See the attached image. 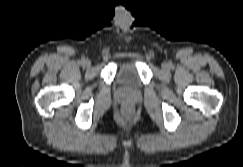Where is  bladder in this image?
Listing matches in <instances>:
<instances>
[{
  "mask_svg": "<svg viewBox=\"0 0 243 167\" xmlns=\"http://www.w3.org/2000/svg\"><path fill=\"white\" fill-rule=\"evenodd\" d=\"M117 82L124 88H135L140 85L137 66L133 63L121 64L117 69Z\"/></svg>",
  "mask_w": 243,
  "mask_h": 167,
  "instance_id": "bladder-1",
  "label": "bladder"
}]
</instances>
